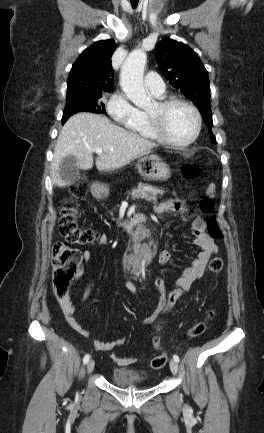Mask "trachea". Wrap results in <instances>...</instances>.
Segmentation results:
<instances>
[{"mask_svg":"<svg viewBox=\"0 0 264 433\" xmlns=\"http://www.w3.org/2000/svg\"><path fill=\"white\" fill-rule=\"evenodd\" d=\"M138 1H139V0H130L131 5H132L133 8H136V7H137V5H138Z\"/></svg>","mask_w":264,"mask_h":433,"instance_id":"3493384b","label":"trachea"}]
</instances>
